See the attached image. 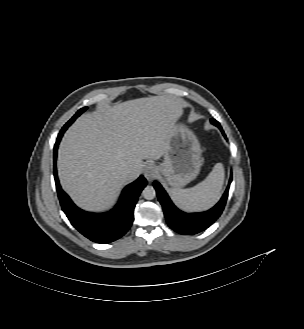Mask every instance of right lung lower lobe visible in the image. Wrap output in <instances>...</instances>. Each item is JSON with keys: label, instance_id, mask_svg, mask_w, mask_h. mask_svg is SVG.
Instances as JSON below:
<instances>
[{"label": "right lung lower lobe", "instance_id": "98d812e1", "mask_svg": "<svg viewBox=\"0 0 304 329\" xmlns=\"http://www.w3.org/2000/svg\"><path fill=\"white\" fill-rule=\"evenodd\" d=\"M65 131L61 130L54 146V179L62 210L70 223L85 237L96 243H110L122 237L134 220V208L138 197L147 181L140 176L127 185L118 204L111 211L103 214L89 213L79 209L62 190L56 171L58 144Z\"/></svg>", "mask_w": 304, "mask_h": 329}]
</instances>
